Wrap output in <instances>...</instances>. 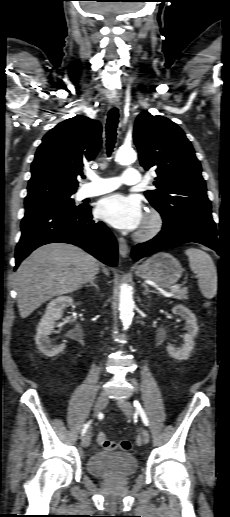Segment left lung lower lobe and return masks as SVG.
I'll list each match as a JSON object with an SVG mask.
<instances>
[{
  "instance_id": "0a47b994",
  "label": "left lung lower lobe",
  "mask_w": 230,
  "mask_h": 517,
  "mask_svg": "<svg viewBox=\"0 0 230 517\" xmlns=\"http://www.w3.org/2000/svg\"><path fill=\"white\" fill-rule=\"evenodd\" d=\"M163 222L162 231L155 238L132 249L134 260L187 242L201 243L220 254L221 246L211 210H190L180 213L172 220L163 219Z\"/></svg>"
}]
</instances>
